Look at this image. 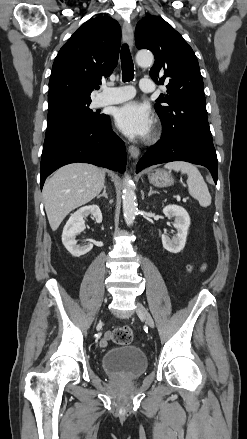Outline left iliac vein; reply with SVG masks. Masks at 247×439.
I'll return each mask as SVG.
<instances>
[{"label": "left iliac vein", "mask_w": 247, "mask_h": 439, "mask_svg": "<svg viewBox=\"0 0 247 439\" xmlns=\"http://www.w3.org/2000/svg\"><path fill=\"white\" fill-rule=\"evenodd\" d=\"M137 315L144 320L151 328H154V320L148 310L139 302H137Z\"/></svg>", "instance_id": "4c4485c4"}]
</instances>
